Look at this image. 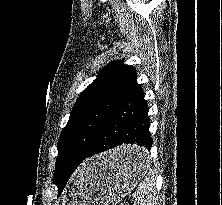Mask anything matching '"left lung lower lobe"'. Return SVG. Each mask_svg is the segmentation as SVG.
<instances>
[{
    "mask_svg": "<svg viewBox=\"0 0 222 205\" xmlns=\"http://www.w3.org/2000/svg\"><path fill=\"white\" fill-rule=\"evenodd\" d=\"M136 76L107 115L86 154L65 160L64 169L67 170L69 178L85 159L95 154L122 144H136L146 149L152 146L153 140L149 133V107L144 99L142 87L137 84ZM145 160L147 153L144 149L123 152L117 157V161L124 165L140 164ZM69 178L58 188L59 194Z\"/></svg>",
    "mask_w": 222,
    "mask_h": 205,
    "instance_id": "left-lung-lower-lobe-1",
    "label": "left lung lower lobe"
}]
</instances>
